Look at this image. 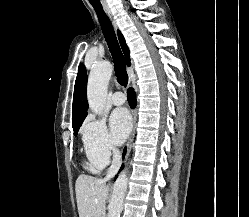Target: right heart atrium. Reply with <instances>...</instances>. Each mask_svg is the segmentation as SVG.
I'll list each match as a JSON object with an SVG mask.
<instances>
[{"mask_svg":"<svg viewBox=\"0 0 249 217\" xmlns=\"http://www.w3.org/2000/svg\"><path fill=\"white\" fill-rule=\"evenodd\" d=\"M81 133L83 147L89 161L100 168L108 165L115 147L105 121L89 116L82 125Z\"/></svg>","mask_w":249,"mask_h":217,"instance_id":"obj_1","label":"right heart atrium"}]
</instances>
